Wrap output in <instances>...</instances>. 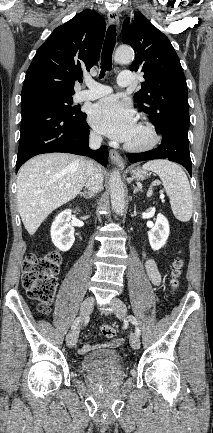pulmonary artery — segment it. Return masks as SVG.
<instances>
[{"label":"pulmonary artery","mask_w":213,"mask_h":433,"mask_svg":"<svg viewBox=\"0 0 213 433\" xmlns=\"http://www.w3.org/2000/svg\"><path fill=\"white\" fill-rule=\"evenodd\" d=\"M87 89L77 93L76 99L78 101L95 100L106 96L112 92V89L104 84L87 79L85 81ZM120 87H127L132 84V74L129 71H122L117 79Z\"/></svg>","instance_id":"pulmonary-artery-1"}]
</instances>
